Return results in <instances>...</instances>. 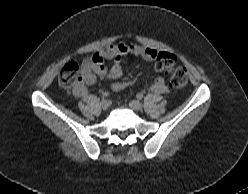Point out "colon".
<instances>
[{"mask_svg": "<svg viewBox=\"0 0 248 194\" xmlns=\"http://www.w3.org/2000/svg\"><path fill=\"white\" fill-rule=\"evenodd\" d=\"M156 69L169 76L170 86L174 89L184 87L188 82V74L184 67L177 66L174 55L167 52H155ZM80 79L79 64L76 61H68L62 68L59 76V84L64 89H69ZM131 85L130 82H115L113 89L122 90Z\"/></svg>", "mask_w": 248, "mask_h": 194, "instance_id": "obj_1", "label": "colon"}]
</instances>
